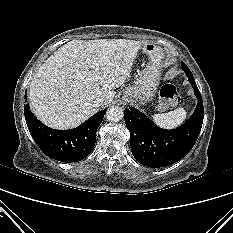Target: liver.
Masks as SVG:
<instances>
[{"label": "liver", "mask_w": 233, "mask_h": 233, "mask_svg": "<svg viewBox=\"0 0 233 233\" xmlns=\"http://www.w3.org/2000/svg\"><path fill=\"white\" fill-rule=\"evenodd\" d=\"M144 42L126 39L72 40L39 68L28 98L37 118L54 129H71L90 118L97 97L111 103L130 77Z\"/></svg>", "instance_id": "1"}]
</instances>
